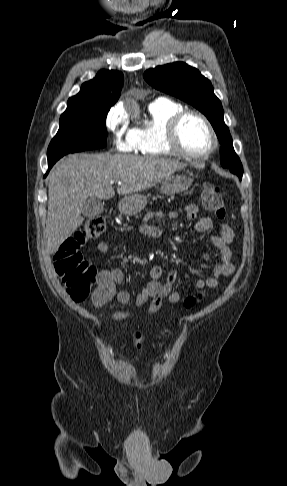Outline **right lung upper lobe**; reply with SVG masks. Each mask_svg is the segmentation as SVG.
<instances>
[{
  "label": "right lung upper lobe",
  "mask_w": 287,
  "mask_h": 486,
  "mask_svg": "<svg viewBox=\"0 0 287 486\" xmlns=\"http://www.w3.org/2000/svg\"><path fill=\"white\" fill-rule=\"evenodd\" d=\"M124 82L119 71L100 70L96 77L82 84L80 92L69 98L67 107L106 105L112 106L119 99Z\"/></svg>",
  "instance_id": "right-lung-upper-lobe-1"
}]
</instances>
